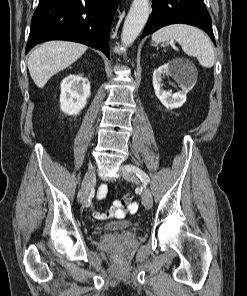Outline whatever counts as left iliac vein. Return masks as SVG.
Listing matches in <instances>:
<instances>
[{
    "label": "left iliac vein",
    "instance_id": "obj_1",
    "mask_svg": "<svg viewBox=\"0 0 247 296\" xmlns=\"http://www.w3.org/2000/svg\"><path fill=\"white\" fill-rule=\"evenodd\" d=\"M122 176L126 180L134 183H138V178L136 177L135 173L132 171L127 170L126 166H123L121 169ZM142 202L146 209H151L153 205V198L150 189L147 186H143L142 192Z\"/></svg>",
    "mask_w": 247,
    "mask_h": 296
}]
</instances>
